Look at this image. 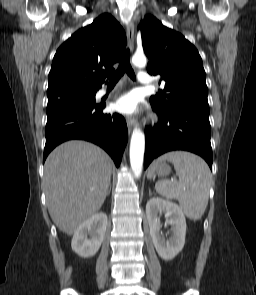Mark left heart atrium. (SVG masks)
I'll return each mask as SVG.
<instances>
[{"label":"left heart atrium","instance_id":"1","mask_svg":"<svg viewBox=\"0 0 256 295\" xmlns=\"http://www.w3.org/2000/svg\"><path fill=\"white\" fill-rule=\"evenodd\" d=\"M115 108L123 114H133L138 110V98L134 92H129L115 102Z\"/></svg>","mask_w":256,"mask_h":295}]
</instances>
